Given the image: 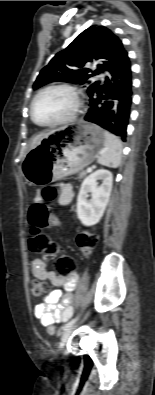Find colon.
Listing matches in <instances>:
<instances>
[{"label": "colon", "mask_w": 155, "mask_h": 395, "mask_svg": "<svg viewBox=\"0 0 155 395\" xmlns=\"http://www.w3.org/2000/svg\"><path fill=\"white\" fill-rule=\"evenodd\" d=\"M56 195L54 187H45L41 191V197L44 201H51ZM50 210L45 204L33 205L28 214L29 224L31 226V235L28 240V248L31 252H38L47 256L58 254V275H69L75 273V263L69 258L66 250H59L58 245L51 241L42 229L47 225ZM97 241L96 234L92 231L83 232L77 235L76 244L84 254H88L95 246ZM59 250V252H58ZM33 297H40L45 291V284L41 281L34 280L30 285Z\"/></svg>", "instance_id": "obj_1"}]
</instances>
